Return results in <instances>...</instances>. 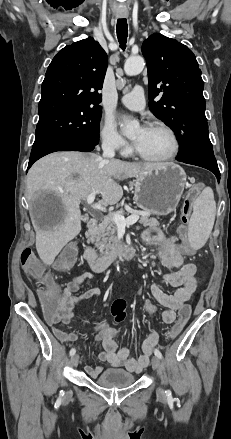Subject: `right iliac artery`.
Here are the masks:
<instances>
[{
    "mask_svg": "<svg viewBox=\"0 0 231 439\" xmlns=\"http://www.w3.org/2000/svg\"><path fill=\"white\" fill-rule=\"evenodd\" d=\"M75 352H76L75 348H72V349L70 350V356H73V355L75 354ZM62 393H64V392L61 391V394H62Z\"/></svg>",
    "mask_w": 231,
    "mask_h": 439,
    "instance_id": "1",
    "label": "right iliac artery"
}]
</instances>
